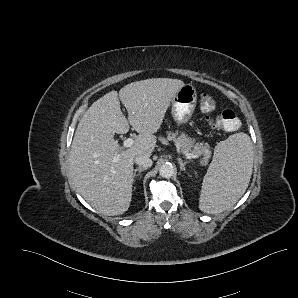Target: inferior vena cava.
I'll list each match as a JSON object with an SVG mask.
<instances>
[{
    "mask_svg": "<svg viewBox=\"0 0 298 298\" xmlns=\"http://www.w3.org/2000/svg\"><path fill=\"white\" fill-rule=\"evenodd\" d=\"M135 163L139 166L150 168L153 165L152 159L146 156H136L134 159Z\"/></svg>",
    "mask_w": 298,
    "mask_h": 298,
    "instance_id": "602c4592",
    "label": "inferior vena cava"
}]
</instances>
